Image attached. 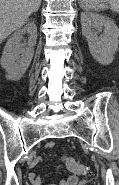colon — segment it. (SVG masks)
Masks as SVG:
<instances>
[{
    "label": "colon",
    "mask_w": 119,
    "mask_h": 185,
    "mask_svg": "<svg viewBox=\"0 0 119 185\" xmlns=\"http://www.w3.org/2000/svg\"><path fill=\"white\" fill-rule=\"evenodd\" d=\"M63 162L65 163L66 167L73 173L78 175H86L88 174V168L80 163L73 157L70 156H63Z\"/></svg>",
    "instance_id": "5ec220e1"
}]
</instances>
